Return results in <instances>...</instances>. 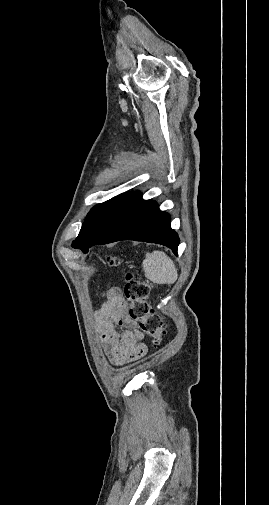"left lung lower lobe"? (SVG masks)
<instances>
[{"instance_id": "obj_1", "label": "left lung lower lobe", "mask_w": 269, "mask_h": 505, "mask_svg": "<svg viewBox=\"0 0 269 505\" xmlns=\"http://www.w3.org/2000/svg\"><path fill=\"white\" fill-rule=\"evenodd\" d=\"M120 240H135L157 243L170 248L177 254L179 237L171 229L170 216L159 210L151 200H143L140 192H135L107 233L95 244H107ZM88 245L81 250L85 253Z\"/></svg>"}]
</instances>
